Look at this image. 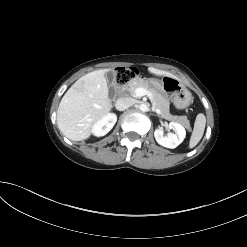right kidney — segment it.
<instances>
[{
	"label": "right kidney",
	"instance_id": "ca27d5eb",
	"mask_svg": "<svg viewBox=\"0 0 247 247\" xmlns=\"http://www.w3.org/2000/svg\"><path fill=\"white\" fill-rule=\"evenodd\" d=\"M117 116L114 113H108L93 124L92 133L100 137L106 135L115 125Z\"/></svg>",
	"mask_w": 247,
	"mask_h": 247
}]
</instances>
